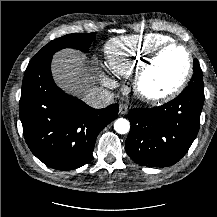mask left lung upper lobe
<instances>
[{
    "label": "left lung upper lobe",
    "instance_id": "obj_1",
    "mask_svg": "<svg viewBox=\"0 0 217 217\" xmlns=\"http://www.w3.org/2000/svg\"><path fill=\"white\" fill-rule=\"evenodd\" d=\"M193 71H194V74L192 76V79H191L189 85H194L197 88L204 90L203 73L200 69V66H199L197 59H194Z\"/></svg>",
    "mask_w": 217,
    "mask_h": 217
}]
</instances>
